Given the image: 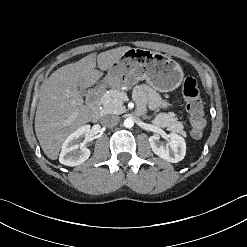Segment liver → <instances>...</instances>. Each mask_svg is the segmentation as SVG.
Wrapping results in <instances>:
<instances>
[{
    "label": "liver",
    "instance_id": "1",
    "mask_svg": "<svg viewBox=\"0 0 247 247\" xmlns=\"http://www.w3.org/2000/svg\"><path fill=\"white\" fill-rule=\"evenodd\" d=\"M131 49L122 46L91 53L81 60L67 64L42 84L35 115V132L45 155L56 160L62 143L77 128L90 122L95 112L83 105L79 89L93 86L114 62ZM96 64L101 70L95 69Z\"/></svg>",
    "mask_w": 247,
    "mask_h": 247
}]
</instances>
